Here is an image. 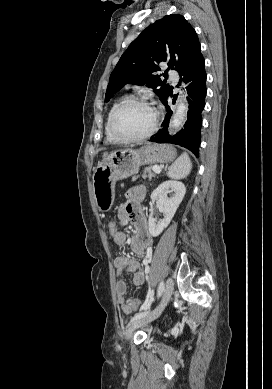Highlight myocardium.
<instances>
[{
    "label": "myocardium",
    "mask_w": 272,
    "mask_h": 389,
    "mask_svg": "<svg viewBox=\"0 0 272 389\" xmlns=\"http://www.w3.org/2000/svg\"><path fill=\"white\" fill-rule=\"evenodd\" d=\"M131 104H140L143 106H146L150 108L153 112V122L151 127L149 128L148 131L145 133L139 135V136H123L121 135L115 126V121L118 116V114L123 110L125 107ZM159 124V113L158 111L153 107V105L147 101L146 99L140 98V97H129L127 99H124L121 103L118 104V106L113 110L110 121H109V127H110V132L113 135V137L118 140L119 142H138L142 141L144 139L149 138L156 130Z\"/></svg>",
    "instance_id": "1"
}]
</instances>
